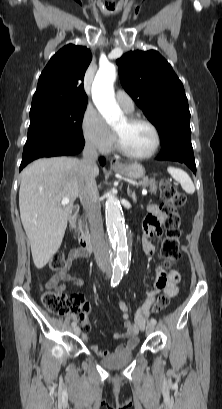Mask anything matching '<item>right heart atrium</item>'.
Wrapping results in <instances>:
<instances>
[{
	"mask_svg": "<svg viewBox=\"0 0 222 409\" xmlns=\"http://www.w3.org/2000/svg\"><path fill=\"white\" fill-rule=\"evenodd\" d=\"M81 130L87 144L101 153H109L114 147L115 138L100 113L87 106L81 121Z\"/></svg>",
	"mask_w": 222,
	"mask_h": 409,
	"instance_id": "d8ad5b80",
	"label": "right heart atrium"
}]
</instances>
